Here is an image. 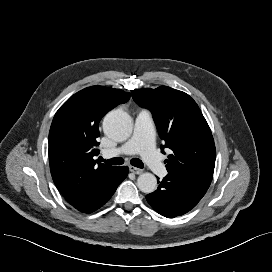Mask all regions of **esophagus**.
I'll return each instance as SVG.
<instances>
[{
  "mask_svg": "<svg viewBox=\"0 0 272 272\" xmlns=\"http://www.w3.org/2000/svg\"><path fill=\"white\" fill-rule=\"evenodd\" d=\"M129 170L134 173V174H141L143 173V169H140V168H136V167H133V166H130L129 167Z\"/></svg>",
  "mask_w": 272,
  "mask_h": 272,
  "instance_id": "obj_1",
  "label": "esophagus"
}]
</instances>
